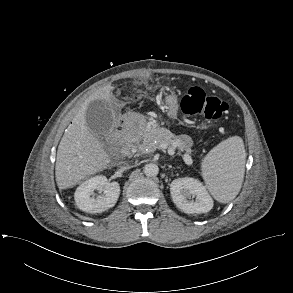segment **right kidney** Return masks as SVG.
<instances>
[{
    "label": "right kidney",
    "mask_w": 293,
    "mask_h": 293,
    "mask_svg": "<svg viewBox=\"0 0 293 293\" xmlns=\"http://www.w3.org/2000/svg\"><path fill=\"white\" fill-rule=\"evenodd\" d=\"M103 190L98 198L91 197L94 190ZM120 195L118 182H108L106 176L98 175L83 182L75 191L77 207L87 213H101L112 208Z\"/></svg>",
    "instance_id": "right-kidney-1"
}]
</instances>
